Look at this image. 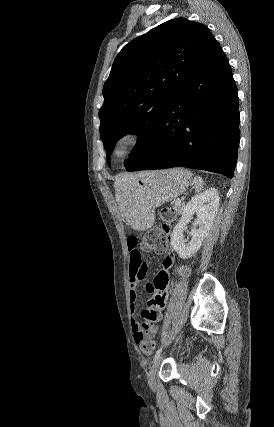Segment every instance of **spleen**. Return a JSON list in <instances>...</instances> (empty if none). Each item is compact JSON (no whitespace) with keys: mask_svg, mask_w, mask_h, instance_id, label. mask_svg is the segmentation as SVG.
<instances>
[{"mask_svg":"<svg viewBox=\"0 0 274 427\" xmlns=\"http://www.w3.org/2000/svg\"><path fill=\"white\" fill-rule=\"evenodd\" d=\"M193 184L195 186V190L198 194V192H201L202 188H203V180L202 178H199V176H196V178H194L193 180Z\"/></svg>","mask_w":274,"mask_h":427,"instance_id":"obj_1","label":"spleen"}]
</instances>
